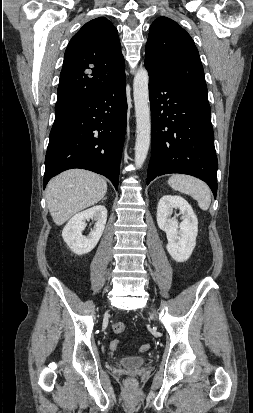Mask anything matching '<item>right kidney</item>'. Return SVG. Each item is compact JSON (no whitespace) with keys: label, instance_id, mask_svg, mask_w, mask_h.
<instances>
[{"label":"right kidney","instance_id":"obj_1","mask_svg":"<svg viewBox=\"0 0 253 413\" xmlns=\"http://www.w3.org/2000/svg\"><path fill=\"white\" fill-rule=\"evenodd\" d=\"M96 221L94 229L86 237L82 232L86 228V220ZM107 221V209L97 205L73 216L62 231V237L71 251L77 255L87 254L99 242Z\"/></svg>","mask_w":253,"mask_h":413}]
</instances>
